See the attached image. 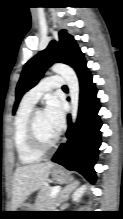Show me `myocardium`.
Here are the masks:
<instances>
[{
  "label": "myocardium",
  "instance_id": "myocardium-1",
  "mask_svg": "<svg viewBox=\"0 0 123 219\" xmlns=\"http://www.w3.org/2000/svg\"><path fill=\"white\" fill-rule=\"evenodd\" d=\"M38 110H33L30 114L29 121H28V136L31 147L38 152L39 154H45L52 150L59 141V135L57 134L56 137L50 143H43L39 138L36 129V114Z\"/></svg>",
  "mask_w": 123,
  "mask_h": 219
}]
</instances>
